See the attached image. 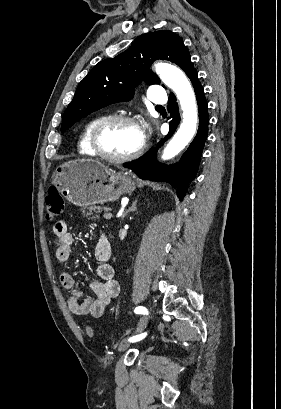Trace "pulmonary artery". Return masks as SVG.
Instances as JSON below:
<instances>
[{"label":"pulmonary artery","mask_w":281,"mask_h":409,"mask_svg":"<svg viewBox=\"0 0 281 409\" xmlns=\"http://www.w3.org/2000/svg\"><path fill=\"white\" fill-rule=\"evenodd\" d=\"M148 88L151 90L147 93L152 103H166L168 97L165 93V88L160 81H150Z\"/></svg>","instance_id":"pulmonary-artery-1"}]
</instances>
